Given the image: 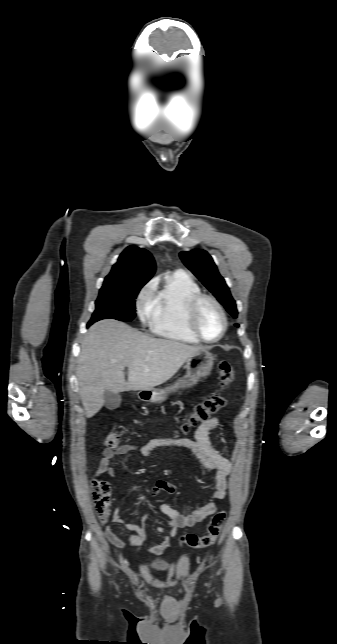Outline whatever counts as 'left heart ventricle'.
<instances>
[{"instance_id":"1","label":"left heart ventricle","mask_w":337,"mask_h":644,"mask_svg":"<svg viewBox=\"0 0 337 644\" xmlns=\"http://www.w3.org/2000/svg\"><path fill=\"white\" fill-rule=\"evenodd\" d=\"M198 327L202 335L207 339H215L222 329V319L217 308L205 302L199 312Z\"/></svg>"}]
</instances>
